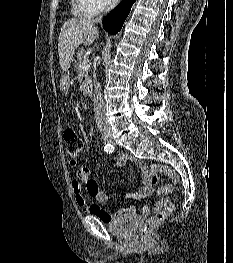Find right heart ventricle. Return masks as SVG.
Wrapping results in <instances>:
<instances>
[{
    "mask_svg": "<svg viewBox=\"0 0 233 263\" xmlns=\"http://www.w3.org/2000/svg\"><path fill=\"white\" fill-rule=\"evenodd\" d=\"M76 4H77L78 9H79L82 13H84V14H89L88 12H86V11L83 9L82 3H81L80 0H76Z\"/></svg>",
    "mask_w": 233,
    "mask_h": 263,
    "instance_id": "obj_1",
    "label": "right heart ventricle"
}]
</instances>
